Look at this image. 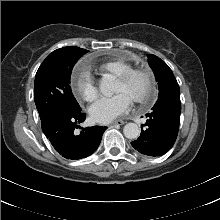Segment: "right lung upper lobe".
Listing matches in <instances>:
<instances>
[{"label": "right lung upper lobe", "instance_id": "obj_1", "mask_svg": "<svg viewBox=\"0 0 220 220\" xmlns=\"http://www.w3.org/2000/svg\"><path fill=\"white\" fill-rule=\"evenodd\" d=\"M55 51H73V52H80V53L88 52V50L81 49L79 47H73V46L63 47Z\"/></svg>", "mask_w": 220, "mask_h": 220}]
</instances>
